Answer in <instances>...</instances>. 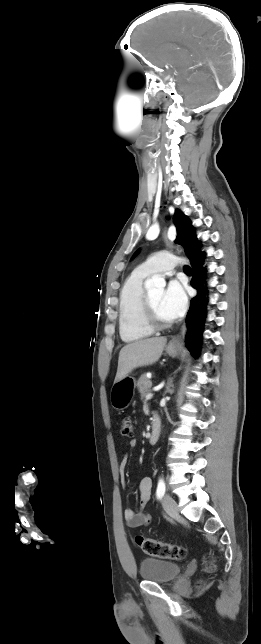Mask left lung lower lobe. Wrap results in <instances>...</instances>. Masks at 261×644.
Masks as SVG:
<instances>
[{"label":"left lung lower lobe","mask_w":261,"mask_h":644,"mask_svg":"<svg viewBox=\"0 0 261 644\" xmlns=\"http://www.w3.org/2000/svg\"><path fill=\"white\" fill-rule=\"evenodd\" d=\"M191 265L194 269L191 285L198 291V294L190 301V308L186 318L188 331L185 342L191 354L194 357H197L199 354L203 326L207 313L206 305L208 303V299L206 295L208 294V291L205 280L207 270L203 267V259L191 260Z\"/></svg>","instance_id":"left-lung-lower-lobe-1"}]
</instances>
